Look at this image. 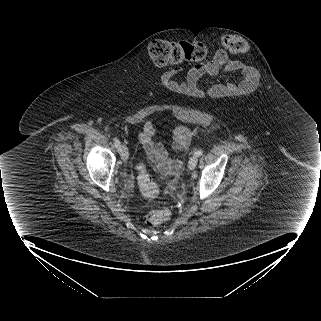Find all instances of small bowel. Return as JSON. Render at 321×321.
<instances>
[{"mask_svg":"<svg viewBox=\"0 0 321 321\" xmlns=\"http://www.w3.org/2000/svg\"><path fill=\"white\" fill-rule=\"evenodd\" d=\"M242 69L245 77L234 79L230 84H205L199 87L198 80L204 75H215L224 70ZM181 69H174L164 74L167 86L176 91H185L187 95L203 100L207 95L216 99L240 95L245 91L254 90L260 83V76L250 66H241L231 59L223 49H218L214 57L207 63L191 67L183 78L176 75ZM156 127L151 121H146L138 134L139 141L145 154L159 168L164 175H170L181 169L182 162L178 158H171L166 147L155 141ZM172 148L175 151L186 149L190 145L192 133L186 126H178L172 131Z\"/></svg>","mask_w":321,"mask_h":321,"instance_id":"c3829d8e","label":"small bowel"}]
</instances>
